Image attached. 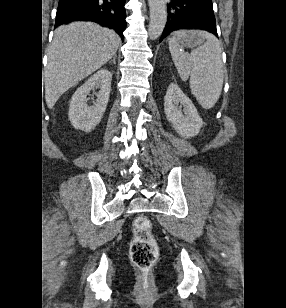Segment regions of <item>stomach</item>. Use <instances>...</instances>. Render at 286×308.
Listing matches in <instances>:
<instances>
[{
	"mask_svg": "<svg viewBox=\"0 0 286 308\" xmlns=\"http://www.w3.org/2000/svg\"><path fill=\"white\" fill-rule=\"evenodd\" d=\"M204 40H205L204 37L199 36L193 32H189L179 39V43L183 47L193 48V47L200 46L201 44H203Z\"/></svg>",
	"mask_w": 286,
	"mask_h": 308,
	"instance_id": "obj_1",
	"label": "stomach"
}]
</instances>
